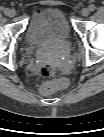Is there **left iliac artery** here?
Returning a JSON list of instances; mask_svg holds the SVG:
<instances>
[{
    "instance_id": "1",
    "label": "left iliac artery",
    "mask_w": 104,
    "mask_h": 137,
    "mask_svg": "<svg viewBox=\"0 0 104 137\" xmlns=\"http://www.w3.org/2000/svg\"><path fill=\"white\" fill-rule=\"evenodd\" d=\"M89 9H90V11H94V10H95V6H94L93 4H91V5L89 6Z\"/></svg>"
}]
</instances>
